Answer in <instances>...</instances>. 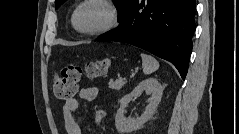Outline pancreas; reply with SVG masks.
Here are the masks:
<instances>
[{
    "label": "pancreas",
    "instance_id": "cf45deb5",
    "mask_svg": "<svg viewBox=\"0 0 239 134\" xmlns=\"http://www.w3.org/2000/svg\"><path fill=\"white\" fill-rule=\"evenodd\" d=\"M127 83L126 79L118 78L117 80H111L109 82V88L113 90H120Z\"/></svg>",
    "mask_w": 239,
    "mask_h": 134
}]
</instances>
